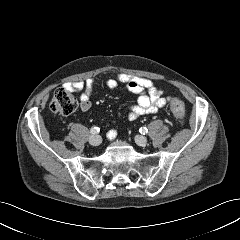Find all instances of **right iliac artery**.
I'll return each instance as SVG.
<instances>
[{
  "label": "right iliac artery",
  "mask_w": 240,
  "mask_h": 240,
  "mask_svg": "<svg viewBox=\"0 0 240 240\" xmlns=\"http://www.w3.org/2000/svg\"><path fill=\"white\" fill-rule=\"evenodd\" d=\"M99 131H100V128H98V127H92V128L90 129V132H91L92 134H97Z\"/></svg>",
  "instance_id": "1"
}]
</instances>
